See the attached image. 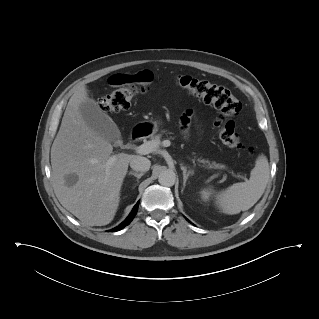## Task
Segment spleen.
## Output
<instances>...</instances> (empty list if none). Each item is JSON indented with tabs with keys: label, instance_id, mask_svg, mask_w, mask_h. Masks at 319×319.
Segmentation results:
<instances>
[{
	"label": "spleen",
	"instance_id": "3e777b00",
	"mask_svg": "<svg viewBox=\"0 0 319 319\" xmlns=\"http://www.w3.org/2000/svg\"><path fill=\"white\" fill-rule=\"evenodd\" d=\"M269 163L264 154L258 156L255 167L251 170L250 179L235 183L220 192L217 204L225 214H238L250 209L263 195L269 180Z\"/></svg>",
	"mask_w": 319,
	"mask_h": 319
}]
</instances>
